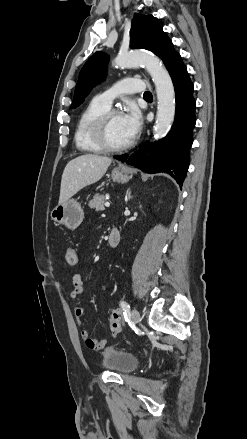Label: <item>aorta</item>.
<instances>
[{
  "label": "aorta",
  "mask_w": 247,
  "mask_h": 439,
  "mask_svg": "<svg viewBox=\"0 0 247 439\" xmlns=\"http://www.w3.org/2000/svg\"><path fill=\"white\" fill-rule=\"evenodd\" d=\"M114 63L117 68H130L139 64L145 66L155 84L158 100L154 138H163L171 128L175 116V91L168 71L156 56L149 53H120Z\"/></svg>",
  "instance_id": "obj_1"
}]
</instances>
